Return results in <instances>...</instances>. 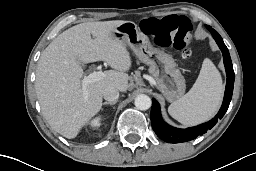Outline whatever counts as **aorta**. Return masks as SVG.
<instances>
[{
    "mask_svg": "<svg viewBox=\"0 0 256 171\" xmlns=\"http://www.w3.org/2000/svg\"><path fill=\"white\" fill-rule=\"evenodd\" d=\"M134 104L139 110H147L151 107V99L145 94H140L135 98Z\"/></svg>",
    "mask_w": 256,
    "mask_h": 171,
    "instance_id": "aorta-1",
    "label": "aorta"
}]
</instances>
